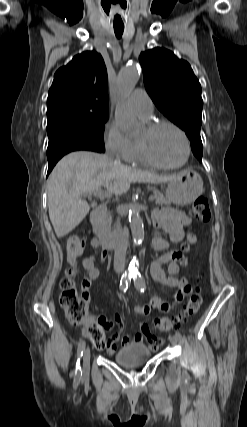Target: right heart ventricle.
I'll return each mask as SVG.
<instances>
[{
  "label": "right heart ventricle",
  "instance_id": "right-heart-ventricle-1",
  "mask_svg": "<svg viewBox=\"0 0 247 427\" xmlns=\"http://www.w3.org/2000/svg\"><path fill=\"white\" fill-rule=\"evenodd\" d=\"M132 142V151L129 161L142 163V164H148V162L143 158L138 142L137 141H131Z\"/></svg>",
  "mask_w": 247,
  "mask_h": 427
}]
</instances>
